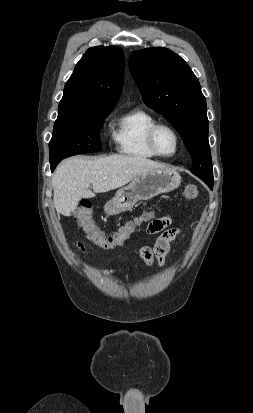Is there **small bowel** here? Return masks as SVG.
<instances>
[{
    "label": "small bowel",
    "instance_id": "1",
    "mask_svg": "<svg viewBox=\"0 0 253 413\" xmlns=\"http://www.w3.org/2000/svg\"><path fill=\"white\" fill-rule=\"evenodd\" d=\"M172 222L170 215L166 214L160 218L152 220L147 226L148 234L161 233L157 238L153 247L143 246L137 250L138 255L144 262L152 266L155 263L163 266L166 261V256L170 251L172 242L181 235V231L177 228H168ZM79 249L86 252L83 245H78ZM115 269H110L107 273H114Z\"/></svg>",
    "mask_w": 253,
    "mask_h": 413
}]
</instances>
